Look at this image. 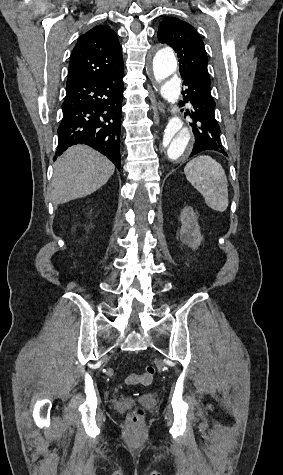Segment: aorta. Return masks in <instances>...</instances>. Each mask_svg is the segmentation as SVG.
Wrapping results in <instances>:
<instances>
[{
    "mask_svg": "<svg viewBox=\"0 0 283 475\" xmlns=\"http://www.w3.org/2000/svg\"><path fill=\"white\" fill-rule=\"evenodd\" d=\"M155 80L160 85L161 95L171 105L172 112L177 113V102L181 93L179 79L175 76L177 60L169 47L156 52L151 61ZM193 147V138L189 126L178 115L169 119L159 144V154L166 162L176 163L186 159Z\"/></svg>",
    "mask_w": 283,
    "mask_h": 475,
    "instance_id": "aorta-1",
    "label": "aorta"
}]
</instances>
